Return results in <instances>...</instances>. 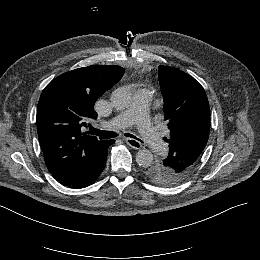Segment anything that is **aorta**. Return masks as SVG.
Segmentation results:
<instances>
[{
    "mask_svg": "<svg viewBox=\"0 0 260 260\" xmlns=\"http://www.w3.org/2000/svg\"><path fill=\"white\" fill-rule=\"evenodd\" d=\"M111 103L117 110H124L131 103V92L127 88H117L111 94ZM153 154L148 149H140L136 154V162L139 166L147 168L153 163Z\"/></svg>",
    "mask_w": 260,
    "mask_h": 260,
    "instance_id": "obj_1",
    "label": "aorta"
}]
</instances>
